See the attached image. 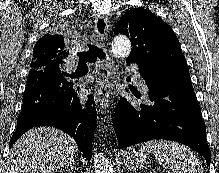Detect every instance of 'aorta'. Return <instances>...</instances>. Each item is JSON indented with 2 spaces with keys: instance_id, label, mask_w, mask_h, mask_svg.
<instances>
[{
  "instance_id": "1",
  "label": "aorta",
  "mask_w": 219,
  "mask_h": 173,
  "mask_svg": "<svg viewBox=\"0 0 219 173\" xmlns=\"http://www.w3.org/2000/svg\"><path fill=\"white\" fill-rule=\"evenodd\" d=\"M111 52L119 58L128 57L131 52L130 40L124 35L116 36L111 43ZM93 166L95 173H115L111 161L102 153L93 155Z\"/></svg>"
}]
</instances>
